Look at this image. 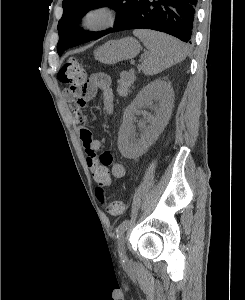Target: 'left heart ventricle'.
I'll return each mask as SVG.
<instances>
[{
    "label": "left heart ventricle",
    "instance_id": "b2bd125f",
    "mask_svg": "<svg viewBox=\"0 0 245 300\" xmlns=\"http://www.w3.org/2000/svg\"><path fill=\"white\" fill-rule=\"evenodd\" d=\"M93 23H96V22H98L99 21V18H93Z\"/></svg>",
    "mask_w": 245,
    "mask_h": 300
}]
</instances>
